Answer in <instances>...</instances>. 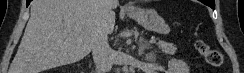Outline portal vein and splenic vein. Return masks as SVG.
Masks as SVG:
<instances>
[{"label": "portal vein and splenic vein", "mask_w": 244, "mask_h": 73, "mask_svg": "<svg viewBox=\"0 0 244 73\" xmlns=\"http://www.w3.org/2000/svg\"><path fill=\"white\" fill-rule=\"evenodd\" d=\"M150 43H156V40L154 39V40H150Z\"/></svg>", "instance_id": "obj_1"}]
</instances>
